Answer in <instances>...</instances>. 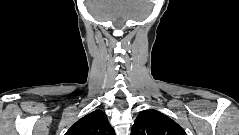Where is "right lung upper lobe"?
I'll return each mask as SVG.
<instances>
[{"mask_svg": "<svg viewBox=\"0 0 239 135\" xmlns=\"http://www.w3.org/2000/svg\"><path fill=\"white\" fill-rule=\"evenodd\" d=\"M65 135H115L106 114L95 110L73 124Z\"/></svg>", "mask_w": 239, "mask_h": 135, "instance_id": "cb5924a9", "label": "right lung upper lobe"}]
</instances>
